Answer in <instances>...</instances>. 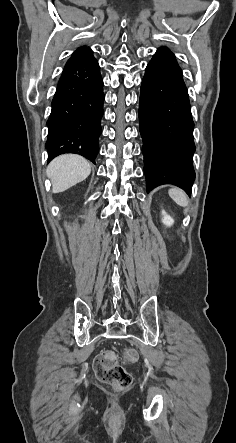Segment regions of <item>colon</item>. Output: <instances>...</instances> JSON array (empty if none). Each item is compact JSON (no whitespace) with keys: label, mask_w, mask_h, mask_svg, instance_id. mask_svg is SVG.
<instances>
[{"label":"colon","mask_w":236,"mask_h":443,"mask_svg":"<svg viewBox=\"0 0 236 443\" xmlns=\"http://www.w3.org/2000/svg\"><path fill=\"white\" fill-rule=\"evenodd\" d=\"M138 359L134 348H125L122 352L124 362L133 363ZM117 357L112 352H105L96 357L93 369L97 378L115 389H127L132 382V377L126 369L117 363Z\"/></svg>","instance_id":"obj_1"}]
</instances>
